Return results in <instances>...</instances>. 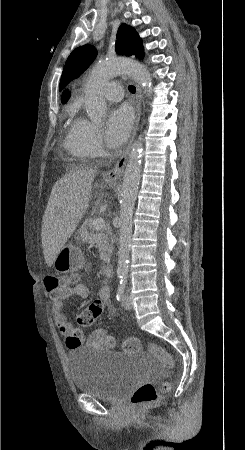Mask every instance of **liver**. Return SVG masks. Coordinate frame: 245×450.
I'll list each match as a JSON object with an SVG mask.
<instances>
[{
	"instance_id": "1",
	"label": "liver",
	"mask_w": 245,
	"mask_h": 450,
	"mask_svg": "<svg viewBox=\"0 0 245 450\" xmlns=\"http://www.w3.org/2000/svg\"><path fill=\"white\" fill-rule=\"evenodd\" d=\"M95 173L91 168L73 169L52 187L41 229L43 254L49 267L89 208Z\"/></svg>"
}]
</instances>
